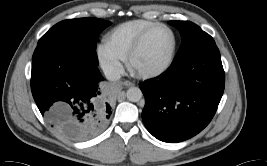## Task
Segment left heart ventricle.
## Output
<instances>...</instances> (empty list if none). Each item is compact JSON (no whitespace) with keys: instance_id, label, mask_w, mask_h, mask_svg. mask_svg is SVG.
Listing matches in <instances>:
<instances>
[{"instance_id":"b2bd125f","label":"left heart ventricle","mask_w":267,"mask_h":166,"mask_svg":"<svg viewBox=\"0 0 267 166\" xmlns=\"http://www.w3.org/2000/svg\"><path fill=\"white\" fill-rule=\"evenodd\" d=\"M172 45L173 39L169 30L159 28L153 31L133 60L135 68L148 71L161 67L168 60Z\"/></svg>"}]
</instances>
